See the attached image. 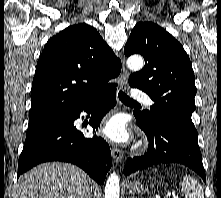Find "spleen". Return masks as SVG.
Wrapping results in <instances>:
<instances>
[{
	"label": "spleen",
	"instance_id": "3e777b00",
	"mask_svg": "<svg viewBox=\"0 0 221 198\" xmlns=\"http://www.w3.org/2000/svg\"><path fill=\"white\" fill-rule=\"evenodd\" d=\"M181 192L185 193L186 198H204L203 189L200 184L190 176H184L181 181Z\"/></svg>",
	"mask_w": 221,
	"mask_h": 198
}]
</instances>
